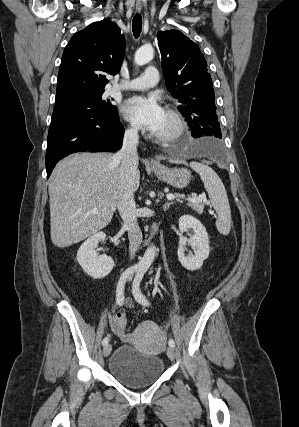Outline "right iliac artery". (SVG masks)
<instances>
[{"label": "right iliac artery", "instance_id": "1", "mask_svg": "<svg viewBox=\"0 0 299 427\" xmlns=\"http://www.w3.org/2000/svg\"><path fill=\"white\" fill-rule=\"evenodd\" d=\"M138 268L137 267H130L127 270H125V272L122 273L118 284H117V288H116V302L119 306H122L124 303V288H125V283L127 278L133 274L134 272H137ZM109 342V339L107 337H105L102 341V345H107Z\"/></svg>", "mask_w": 299, "mask_h": 427}]
</instances>
